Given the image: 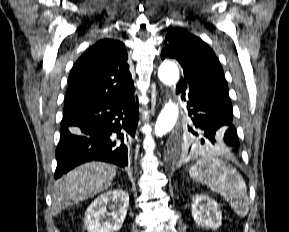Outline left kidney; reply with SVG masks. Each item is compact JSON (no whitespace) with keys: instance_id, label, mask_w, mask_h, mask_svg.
<instances>
[{"instance_id":"1","label":"left kidney","mask_w":289,"mask_h":232,"mask_svg":"<svg viewBox=\"0 0 289 232\" xmlns=\"http://www.w3.org/2000/svg\"><path fill=\"white\" fill-rule=\"evenodd\" d=\"M192 216L198 226L217 229L222 224L218 203L210 197L197 194L192 198Z\"/></svg>"}]
</instances>
